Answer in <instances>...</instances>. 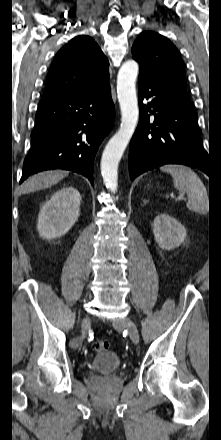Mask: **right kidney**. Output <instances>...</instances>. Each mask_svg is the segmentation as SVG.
Returning <instances> with one entry per match:
<instances>
[{
    "label": "right kidney",
    "instance_id": "ca27d5eb",
    "mask_svg": "<svg viewBox=\"0 0 221 440\" xmlns=\"http://www.w3.org/2000/svg\"><path fill=\"white\" fill-rule=\"evenodd\" d=\"M81 195L74 187L56 191L40 210L37 229L44 239L66 234L79 217Z\"/></svg>",
    "mask_w": 221,
    "mask_h": 440
}]
</instances>
